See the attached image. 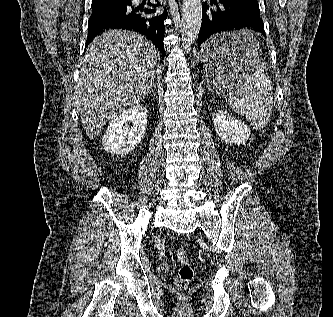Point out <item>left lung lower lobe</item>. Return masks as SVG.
Listing matches in <instances>:
<instances>
[{"label":"left lung lower lobe","mask_w":333,"mask_h":317,"mask_svg":"<svg viewBox=\"0 0 333 317\" xmlns=\"http://www.w3.org/2000/svg\"><path fill=\"white\" fill-rule=\"evenodd\" d=\"M210 3L214 5L210 9L207 3L202 4V23L198 34V48L211 35L221 32L251 28L266 36L257 0H210ZM238 51H240L238 46L214 45L207 50L205 59L208 62L219 61ZM199 66L200 69L203 68V64H198ZM200 80L199 74V82Z\"/></svg>","instance_id":"left-lung-lower-lobe-1"}]
</instances>
